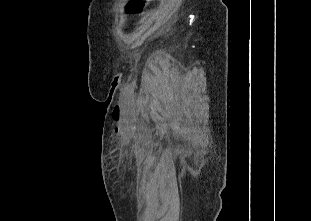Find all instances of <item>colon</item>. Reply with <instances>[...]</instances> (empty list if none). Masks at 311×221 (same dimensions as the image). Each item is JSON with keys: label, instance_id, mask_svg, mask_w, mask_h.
Wrapping results in <instances>:
<instances>
[{"label": "colon", "instance_id": "1", "mask_svg": "<svg viewBox=\"0 0 311 221\" xmlns=\"http://www.w3.org/2000/svg\"><path fill=\"white\" fill-rule=\"evenodd\" d=\"M148 0H127L126 10L123 11L124 17H129L130 13L140 15L145 10Z\"/></svg>", "mask_w": 311, "mask_h": 221}]
</instances>
